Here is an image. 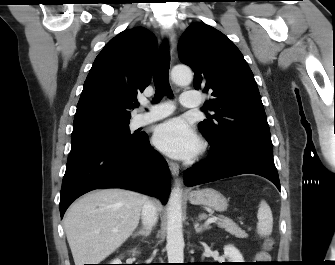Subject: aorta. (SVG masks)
Listing matches in <instances>:
<instances>
[{"label": "aorta", "mask_w": 335, "mask_h": 265, "mask_svg": "<svg viewBox=\"0 0 335 265\" xmlns=\"http://www.w3.org/2000/svg\"><path fill=\"white\" fill-rule=\"evenodd\" d=\"M172 81L177 85H188L193 79L189 67L175 66L171 71ZM182 190L176 184L171 190L167 208V244L168 263H183L184 238L182 232Z\"/></svg>", "instance_id": "aorta-1"}]
</instances>
